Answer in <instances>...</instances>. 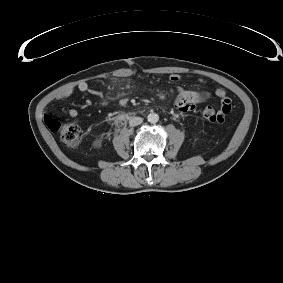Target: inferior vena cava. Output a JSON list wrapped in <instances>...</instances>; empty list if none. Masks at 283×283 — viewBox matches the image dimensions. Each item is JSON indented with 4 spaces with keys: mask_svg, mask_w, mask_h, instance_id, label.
<instances>
[{
    "mask_svg": "<svg viewBox=\"0 0 283 283\" xmlns=\"http://www.w3.org/2000/svg\"><path fill=\"white\" fill-rule=\"evenodd\" d=\"M142 122H143V119L141 117H132L129 120V125L134 127V126L140 125Z\"/></svg>",
    "mask_w": 283,
    "mask_h": 283,
    "instance_id": "inferior-vena-cava-1",
    "label": "inferior vena cava"
}]
</instances>
